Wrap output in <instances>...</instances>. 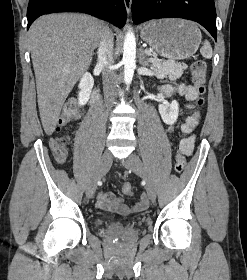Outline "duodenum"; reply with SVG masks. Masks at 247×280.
<instances>
[{"label":"duodenum","instance_id":"duodenum-1","mask_svg":"<svg viewBox=\"0 0 247 280\" xmlns=\"http://www.w3.org/2000/svg\"><path fill=\"white\" fill-rule=\"evenodd\" d=\"M98 101V91L93 89L89 95V104L94 106Z\"/></svg>","mask_w":247,"mask_h":280}]
</instances>
